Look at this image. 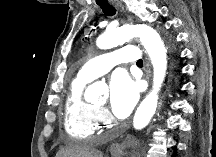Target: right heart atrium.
Masks as SVG:
<instances>
[{
    "label": "right heart atrium",
    "mask_w": 216,
    "mask_h": 157,
    "mask_svg": "<svg viewBox=\"0 0 216 157\" xmlns=\"http://www.w3.org/2000/svg\"><path fill=\"white\" fill-rule=\"evenodd\" d=\"M96 121H97L98 125L105 126V125H108L110 123L111 118L105 109L98 108Z\"/></svg>",
    "instance_id": "right-heart-atrium-1"
}]
</instances>
